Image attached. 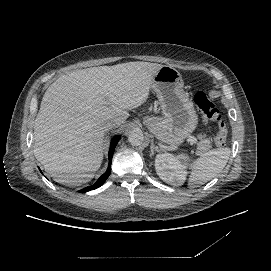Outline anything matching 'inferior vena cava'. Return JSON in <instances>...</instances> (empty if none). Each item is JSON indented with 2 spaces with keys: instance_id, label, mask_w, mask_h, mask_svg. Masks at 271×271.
<instances>
[{
  "instance_id": "1",
  "label": "inferior vena cava",
  "mask_w": 271,
  "mask_h": 271,
  "mask_svg": "<svg viewBox=\"0 0 271 271\" xmlns=\"http://www.w3.org/2000/svg\"><path fill=\"white\" fill-rule=\"evenodd\" d=\"M120 125L119 122L117 121H112V120H103L102 124H101V127L103 129V131H108L109 129H115V128H118Z\"/></svg>"
}]
</instances>
